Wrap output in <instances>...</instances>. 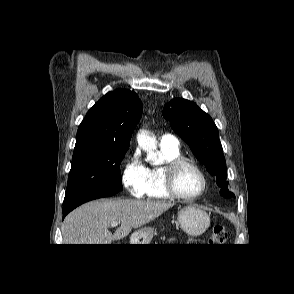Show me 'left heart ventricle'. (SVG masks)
<instances>
[{"instance_id": "b2bd125f", "label": "left heart ventricle", "mask_w": 294, "mask_h": 294, "mask_svg": "<svg viewBox=\"0 0 294 294\" xmlns=\"http://www.w3.org/2000/svg\"><path fill=\"white\" fill-rule=\"evenodd\" d=\"M176 187L181 194L192 196L200 191L202 180L192 167L184 166L177 174Z\"/></svg>"}]
</instances>
